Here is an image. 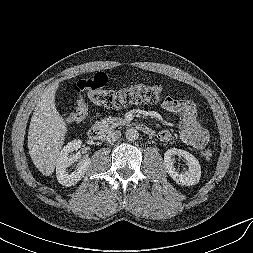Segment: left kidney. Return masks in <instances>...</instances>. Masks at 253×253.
Listing matches in <instances>:
<instances>
[{"mask_svg": "<svg viewBox=\"0 0 253 253\" xmlns=\"http://www.w3.org/2000/svg\"><path fill=\"white\" fill-rule=\"evenodd\" d=\"M175 155L183 157L188 163L189 169L183 174L177 172L174 167L172 157ZM164 167L170 177L180 185H195L199 182L201 177V166L199 161L191 153L182 149H168L164 154Z\"/></svg>", "mask_w": 253, "mask_h": 253, "instance_id": "1", "label": "left kidney"}]
</instances>
